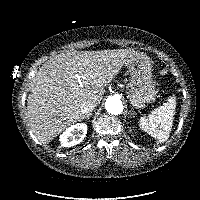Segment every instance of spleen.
Segmentation results:
<instances>
[{"instance_id":"obj_1","label":"spleen","mask_w":200,"mask_h":200,"mask_svg":"<svg viewBox=\"0 0 200 200\" xmlns=\"http://www.w3.org/2000/svg\"><path fill=\"white\" fill-rule=\"evenodd\" d=\"M175 108L176 98L171 96L166 103L153 110L147 118H140V128L158 141L165 142L172 130Z\"/></svg>"}]
</instances>
